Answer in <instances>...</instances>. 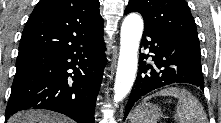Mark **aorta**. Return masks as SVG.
<instances>
[{
  "label": "aorta",
  "mask_w": 221,
  "mask_h": 123,
  "mask_svg": "<svg viewBox=\"0 0 221 123\" xmlns=\"http://www.w3.org/2000/svg\"><path fill=\"white\" fill-rule=\"evenodd\" d=\"M143 32V20L136 14L127 15L121 26L120 53L114 84L113 101H122L130 92L138 66V48Z\"/></svg>",
  "instance_id": "762f6f07"
}]
</instances>
